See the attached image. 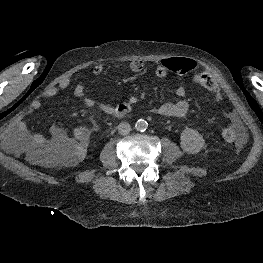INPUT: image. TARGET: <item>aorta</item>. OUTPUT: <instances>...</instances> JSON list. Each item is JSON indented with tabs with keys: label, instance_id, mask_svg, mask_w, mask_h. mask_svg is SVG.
Instances as JSON below:
<instances>
[{
	"label": "aorta",
	"instance_id": "762f6f07",
	"mask_svg": "<svg viewBox=\"0 0 263 263\" xmlns=\"http://www.w3.org/2000/svg\"><path fill=\"white\" fill-rule=\"evenodd\" d=\"M135 128L137 131L144 132L148 128V123L144 119H139L135 124Z\"/></svg>",
	"mask_w": 263,
	"mask_h": 263
}]
</instances>
